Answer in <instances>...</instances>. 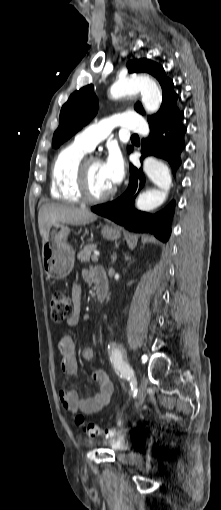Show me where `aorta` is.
<instances>
[{
    "label": "aorta",
    "mask_w": 221,
    "mask_h": 510,
    "mask_svg": "<svg viewBox=\"0 0 221 510\" xmlns=\"http://www.w3.org/2000/svg\"><path fill=\"white\" fill-rule=\"evenodd\" d=\"M141 92L142 103L149 113H155L162 101L161 91L150 77L145 75H130L116 81L110 88V95L121 98ZM143 169L148 178L157 186V189H148L138 197L136 206L141 211H151L159 207L165 201L172 177L166 164L154 157H147L143 163Z\"/></svg>",
    "instance_id": "1"
}]
</instances>
